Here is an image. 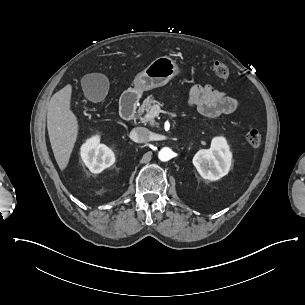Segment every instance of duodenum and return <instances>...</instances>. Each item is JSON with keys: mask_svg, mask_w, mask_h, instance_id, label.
<instances>
[{"mask_svg": "<svg viewBox=\"0 0 305 305\" xmlns=\"http://www.w3.org/2000/svg\"><path fill=\"white\" fill-rule=\"evenodd\" d=\"M139 102V95L130 91L122 95L120 99V113L124 120H131L135 116V110Z\"/></svg>", "mask_w": 305, "mask_h": 305, "instance_id": "410a0bca", "label": "duodenum"}]
</instances>
